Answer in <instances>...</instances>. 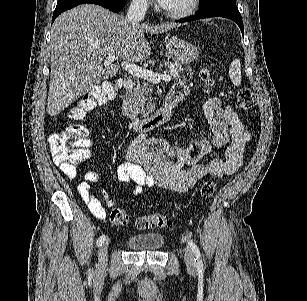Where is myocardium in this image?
Listing matches in <instances>:
<instances>
[{"label":"myocardium","mask_w":307,"mask_h":301,"mask_svg":"<svg viewBox=\"0 0 307 301\" xmlns=\"http://www.w3.org/2000/svg\"><path fill=\"white\" fill-rule=\"evenodd\" d=\"M196 4L197 0H191L185 7H177L170 4H158L155 12H163L167 18L189 17Z\"/></svg>","instance_id":"myocardium-1"}]
</instances>
